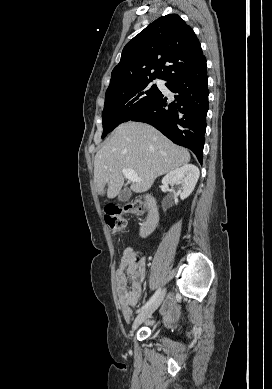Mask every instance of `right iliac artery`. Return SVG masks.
<instances>
[{
	"label": "right iliac artery",
	"mask_w": 272,
	"mask_h": 389,
	"mask_svg": "<svg viewBox=\"0 0 272 389\" xmlns=\"http://www.w3.org/2000/svg\"><path fill=\"white\" fill-rule=\"evenodd\" d=\"M160 293H161V288H159V289L153 294V296L148 300V302H147L145 305H143V306L141 307V309L138 310V312H141V311H143L144 309H146L147 307H149V306L157 299V297L160 295Z\"/></svg>",
	"instance_id": "82829eb1"
}]
</instances>
